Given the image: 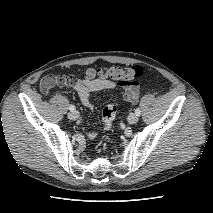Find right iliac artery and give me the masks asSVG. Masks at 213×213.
I'll return each mask as SVG.
<instances>
[{"mask_svg":"<svg viewBox=\"0 0 213 213\" xmlns=\"http://www.w3.org/2000/svg\"><path fill=\"white\" fill-rule=\"evenodd\" d=\"M69 109H70L71 111H75V106H74V105H70V106H69Z\"/></svg>","mask_w":213,"mask_h":213,"instance_id":"obj_1","label":"right iliac artery"}]
</instances>
